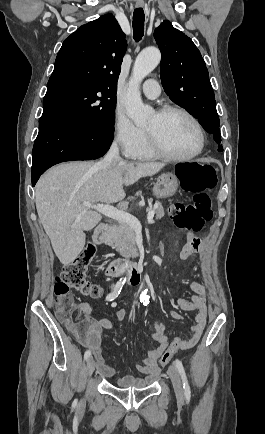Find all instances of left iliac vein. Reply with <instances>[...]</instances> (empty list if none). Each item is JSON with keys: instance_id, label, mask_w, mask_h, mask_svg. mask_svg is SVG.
I'll list each match as a JSON object with an SVG mask.
<instances>
[{"instance_id": "left-iliac-vein-1", "label": "left iliac vein", "mask_w": 265, "mask_h": 434, "mask_svg": "<svg viewBox=\"0 0 265 434\" xmlns=\"http://www.w3.org/2000/svg\"><path fill=\"white\" fill-rule=\"evenodd\" d=\"M169 375H170L171 381L173 383L176 398L180 403H183V401H184L183 388H182V384H181V380H180L178 371L174 365L169 366Z\"/></svg>"}]
</instances>
